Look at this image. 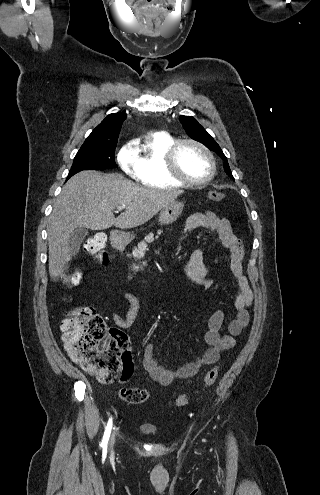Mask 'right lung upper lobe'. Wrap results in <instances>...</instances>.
<instances>
[{"mask_svg": "<svg viewBox=\"0 0 320 495\" xmlns=\"http://www.w3.org/2000/svg\"><path fill=\"white\" fill-rule=\"evenodd\" d=\"M125 119L126 115L121 112L109 114L91 132L82 146L117 144L121 125Z\"/></svg>", "mask_w": 320, "mask_h": 495, "instance_id": "cb5924a9", "label": "right lung upper lobe"}]
</instances>
